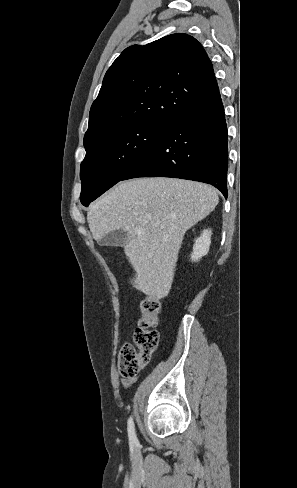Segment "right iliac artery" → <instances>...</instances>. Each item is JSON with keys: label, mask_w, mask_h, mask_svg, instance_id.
Wrapping results in <instances>:
<instances>
[{"label": "right iliac artery", "mask_w": 297, "mask_h": 488, "mask_svg": "<svg viewBox=\"0 0 297 488\" xmlns=\"http://www.w3.org/2000/svg\"><path fill=\"white\" fill-rule=\"evenodd\" d=\"M128 437L131 443H136L137 438L132 417H130L128 420Z\"/></svg>", "instance_id": "obj_1"}]
</instances>
